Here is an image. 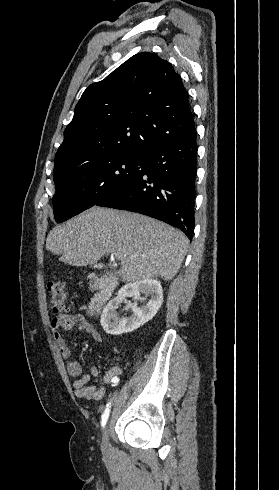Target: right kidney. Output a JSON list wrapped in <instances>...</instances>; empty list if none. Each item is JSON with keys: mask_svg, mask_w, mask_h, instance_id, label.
<instances>
[{"mask_svg": "<svg viewBox=\"0 0 279 490\" xmlns=\"http://www.w3.org/2000/svg\"><path fill=\"white\" fill-rule=\"evenodd\" d=\"M141 294H145L146 298H150L145 306L138 308V304H131L132 310L131 316L126 318L124 316H118L116 312L120 304L126 300V298H135V300H141ZM163 302V290L160 282L154 280V278H144L139 282H130L123 286L119 290L116 298L108 302L106 308H104L101 314L100 324L107 332L112 336H121V334H128V332H134L149 320L154 318L158 310H160Z\"/></svg>", "mask_w": 279, "mask_h": 490, "instance_id": "obj_1", "label": "right kidney"}]
</instances>
